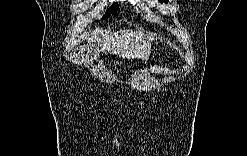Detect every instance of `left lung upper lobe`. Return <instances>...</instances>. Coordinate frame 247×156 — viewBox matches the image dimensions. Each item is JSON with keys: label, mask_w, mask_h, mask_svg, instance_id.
I'll return each mask as SVG.
<instances>
[{"label": "left lung upper lobe", "mask_w": 247, "mask_h": 156, "mask_svg": "<svg viewBox=\"0 0 247 156\" xmlns=\"http://www.w3.org/2000/svg\"><path fill=\"white\" fill-rule=\"evenodd\" d=\"M160 2H165V3H168V0H159Z\"/></svg>", "instance_id": "1"}]
</instances>
